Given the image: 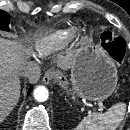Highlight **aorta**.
Returning a JSON list of instances; mask_svg holds the SVG:
<instances>
[{
    "label": "aorta",
    "instance_id": "obj_1",
    "mask_svg": "<svg viewBox=\"0 0 130 130\" xmlns=\"http://www.w3.org/2000/svg\"><path fill=\"white\" fill-rule=\"evenodd\" d=\"M34 98L36 101L38 102H44L48 99L49 97V92L48 89L44 86H38L35 90H34Z\"/></svg>",
    "mask_w": 130,
    "mask_h": 130
}]
</instances>
